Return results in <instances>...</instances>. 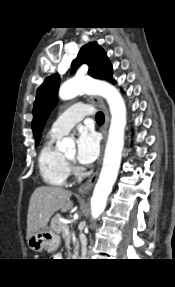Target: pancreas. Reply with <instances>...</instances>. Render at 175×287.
I'll use <instances>...</instances> for the list:
<instances>
[{
    "label": "pancreas",
    "mask_w": 175,
    "mask_h": 287,
    "mask_svg": "<svg viewBox=\"0 0 175 287\" xmlns=\"http://www.w3.org/2000/svg\"><path fill=\"white\" fill-rule=\"evenodd\" d=\"M67 226L66 224H64L63 222L60 221L59 217H54L51 220V229L58 233V234H62L63 238L66 239V235L64 232V227Z\"/></svg>",
    "instance_id": "1"
}]
</instances>
